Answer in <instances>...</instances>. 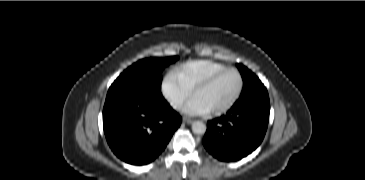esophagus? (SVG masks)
I'll use <instances>...</instances> for the list:
<instances>
[{
    "mask_svg": "<svg viewBox=\"0 0 365 180\" xmlns=\"http://www.w3.org/2000/svg\"><path fill=\"white\" fill-rule=\"evenodd\" d=\"M183 123H185V124H192L193 123V120L192 119H189V118H183Z\"/></svg>",
    "mask_w": 365,
    "mask_h": 180,
    "instance_id": "esophagus-1",
    "label": "esophagus"
}]
</instances>
